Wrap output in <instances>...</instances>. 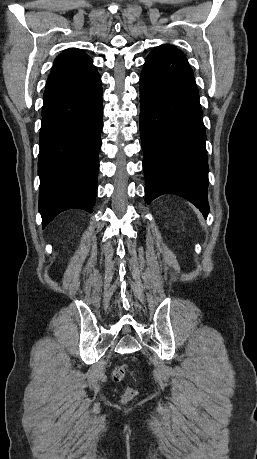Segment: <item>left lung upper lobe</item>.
Returning <instances> with one entry per match:
<instances>
[{"mask_svg":"<svg viewBox=\"0 0 257 459\" xmlns=\"http://www.w3.org/2000/svg\"><path fill=\"white\" fill-rule=\"evenodd\" d=\"M163 48H169V49L178 50L176 47L171 46V45H161V46H159V47H157L155 49H163ZM178 51H180V50H178Z\"/></svg>","mask_w":257,"mask_h":459,"instance_id":"5c2ea615","label":"left lung upper lobe"}]
</instances>
